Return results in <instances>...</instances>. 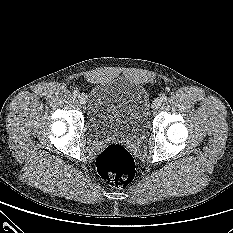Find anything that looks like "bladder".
<instances>
[{
  "label": "bladder",
  "instance_id": "obj_1",
  "mask_svg": "<svg viewBox=\"0 0 233 233\" xmlns=\"http://www.w3.org/2000/svg\"><path fill=\"white\" fill-rule=\"evenodd\" d=\"M88 129L95 139L139 140L147 133L150 99L143 85L118 77L98 82L88 99Z\"/></svg>",
  "mask_w": 233,
  "mask_h": 233
}]
</instances>
